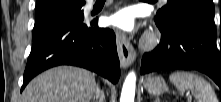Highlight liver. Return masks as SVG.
I'll list each match as a JSON object with an SVG mask.
<instances>
[{
    "label": "liver",
    "instance_id": "liver-1",
    "mask_svg": "<svg viewBox=\"0 0 221 102\" xmlns=\"http://www.w3.org/2000/svg\"><path fill=\"white\" fill-rule=\"evenodd\" d=\"M95 77L88 70L59 66L34 78L22 94V102H90Z\"/></svg>",
    "mask_w": 221,
    "mask_h": 102
}]
</instances>
